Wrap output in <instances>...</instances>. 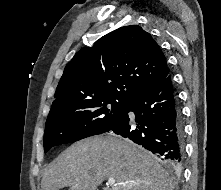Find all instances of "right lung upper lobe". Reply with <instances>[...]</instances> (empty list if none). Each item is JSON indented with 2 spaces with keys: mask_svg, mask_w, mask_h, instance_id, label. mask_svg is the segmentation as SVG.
Instances as JSON below:
<instances>
[{
  "mask_svg": "<svg viewBox=\"0 0 221 190\" xmlns=\"http://www.w3.org/2000/svg\"><path fill=\"white\" fill-rule=\"evenodd\" d=\"M169 73L162 50L148 32L138 25L121 27L75 54L64 69L51 110L102 98L127 100Z\"/></svg>",
  "mask_w": 221,
  "mask_h": 190,
  "instance_id": "1",
  "label": "right lung upper lobe"
}]
</instances>
